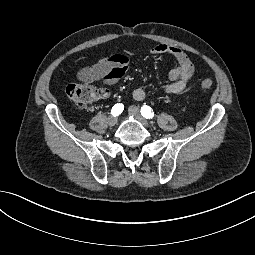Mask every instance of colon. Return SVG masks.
Here are the masks:
<instances>
[{
  "instance_id": "colon-1",
  "label": "colon",
  "mask_w": 255,
  "mask_h": 255,
  "mask_svg": "<svg viewBox=\"0 0 255 255\" xmlns=\"http://www.w3.org/2000/svg\"><path fill=\"white\" fill-rule=\"evenodd\" d=\"M213 86V81L209 78L200 82L202 90H209ZM66 93L68 98L80 108H89L94 100L100 95V91L92 85L86 83L70 84Z\"/></svg>"
}]
</instances>
